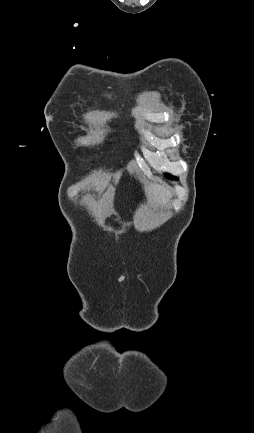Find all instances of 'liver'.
Segmentation results:
<instances>
[{"label":"liver","instance_id":"obj_1","mask_svg":"<svg viewBox=\"0 0 254 433\" xmlns=\"http://www.w3.org/2000/svg\"><path fill=\"white\" fill-rule=\"evenodd\" d=\"M147 197L150 203L163 206L169 203L172 192L163 185L152 183L147 189Z\"/></svg>","mask_w":254,"mask_h":433}]
</instances>
